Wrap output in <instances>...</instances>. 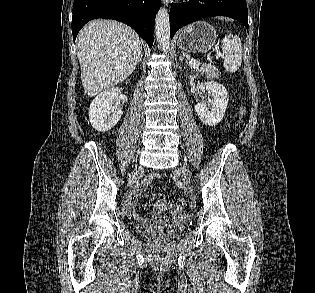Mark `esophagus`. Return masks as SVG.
<instances>
[{"label":"esophagus","instance_id":"esophagus-1","mask_svg":"<svg viewBox=\"0 0 315 293\" xmlns=\"http://www.w3.org/2000/svg\"><path fill=\"white\" fill-rule=\"evenodd\" d=\"M171 0H162V3L166 6H168L170 4Z\"/></svg>","mask_w":315,"mask_h":293}]
</instances>
